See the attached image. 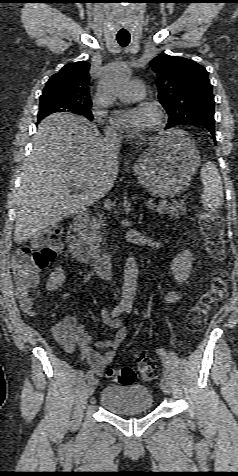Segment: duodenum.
Listing matches in <instances>:
<instances>
[{
    "mask_svg": "<svg viewBox=\"0 0 238 476\" xmlns=\"http://www.w3.org/2000/svg\"><path fill=\"white\" fill-rule=\"evenodd\" d=\"M89 221V214L79 213L73 220L67 233V247L72 256L86 265L101 278L113 274L114 258L110 254H100L90 249L84 240V231Z\"/></svg>",
    "mask_w": 238,
    "mask_h": 476,
    "instance_id": "1",
    "label": "duodenum"
}]
</instances>
